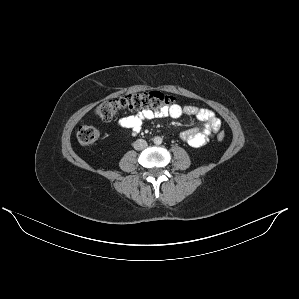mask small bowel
<instances>
[{
  "label": "small bowel",
  "instance_id": "c3829d8e",
  "mask_svg": "<svg viewBox=\"0 0 299 299\" xmlns=\"http://www.w3.org/2000/svg\"><path fill=\"white\" fill-rule=\"evenodd\" d=\"M183 114L193 116L200 122L199 126L183 131L180 136L192 147L205 145L220 129L221 121L213 111L193 105L179 104L159 110H142L133 115L123 116L117 120L116 124L131 134H137L147 120L166 116L179 118Z\"/></svg>",
  "mask_w": 299,
  "mask_h": 299
}]
</instances>
